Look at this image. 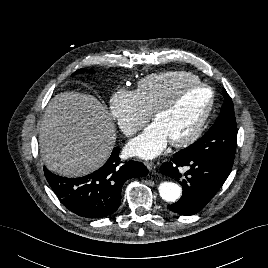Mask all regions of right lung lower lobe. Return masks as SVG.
Instances as JSON below:
<instances>
[{"label": "right lung lower lobe", "instance_id": "obj_1", "mask_svg": "<svg viewBox=\"0 0 268 268\" xmlns=\"http://www.w3.org/2000/svg\"><path fill=\"white\" fill-rule=\"evenodd\" d=\"M115 147L108 161L97 171L80 178H64L44 167V174L60 202L71 212L86 218L112 214L121 203V188L130 178L143 177L148 170L143 163H122Z\"/></svg>", "mask_w": 268, "mask_h": 268}]
</instances>
